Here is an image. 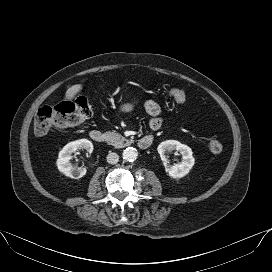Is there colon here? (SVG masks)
Listing matches in <instances>:
<instances>
[{"label": "colon", "instance_id": "1", "mask_svg": "<svg viewBox=\"0 0 272 272\" xmlns=\"http://www.w3.org/2000/svg\"><path fill=\"white\" fill-rule=\"evenodd\" d=\"M171 97L178 103L185 102L187 93L179 88L170 90ZM92 115V107L86 98L65 99L54 106H42L34 119V132L38 136L46 135L53 128L77 126ZM208 148L212 153H220L223 143L217 138L210 139Z\"/></svg>", "mask_w": 272, "mask_h": 272}]
</instances>
